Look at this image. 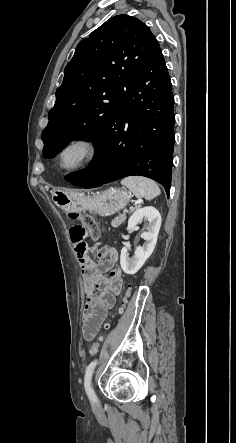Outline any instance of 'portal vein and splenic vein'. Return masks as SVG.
Segmentation results:
<instances>
[{
    "label": "portal vein and splenic vein",
    "instance_id": "portal-vein-and-splenic-vein-1",
    "mask_svg": "<svg viewBox=\"0 0 236 443\" xmlns=\"http://www.w3.org/2000/svg\"><path fill=\"white\" fill-rule=\"evenodd\" d=\"M141 203V201H137L136 203H135V206H137V205H139ZM133 206L130 208L131 210H133Z\"/></svg>",
    "mask_w": 236,
    "mask_h": 443
}]
</instances>
